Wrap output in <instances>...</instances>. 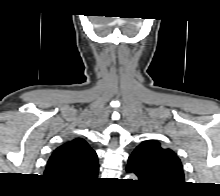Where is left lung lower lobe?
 Segmentation results:
<instances>
[{
    "label": "left lung lower lobe",
    "instance_id": "obj_1",
    "mask_svg": "<svg viewBox=\"0 0 220 196\" xmlns=\"http://www.w3.org/2000/svg\"><path fill=\"white\" fill-rule=\"evenodd\" d=\"M126 170H127V172H134V173L137 175V173H136V171L134 170V168H133L131 162H128V165H127ZM137 176H138V175H137Z\"/></svg>",
    "mask_w": 220,
    "mask_h": 196
}]
</instances>
